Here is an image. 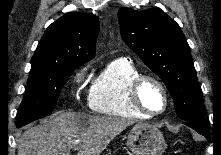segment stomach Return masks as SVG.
<instances>
[{"label": "stomach", "instance_id": "1", "mask_svg": "<svg viewBox=\"0 0 221 155\" xmlns=\"http://www.w3.org/2000/svg\"><path fill=\"white\" fill-rule=\"evenodd\" d=\"M127 146L133 155H162L166 149L161 131L153 125L138 123L127 136Z\"/></svg>", "mask_w": 221, "mask_h": 155}]
</instances>
